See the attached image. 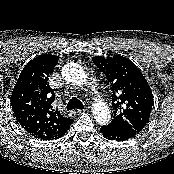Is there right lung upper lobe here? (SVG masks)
<instances>
[{"label": "right lung upper lobe", "instance_id": "obj_1", "mask_svg": "<svg viewBox=\"0 0 174 174\" xmlns=\"http://www.w3.org/2000/svg\"><path fill=\"white\" fill-rule=\"evenodd\" d=\"M58 57L42 54L23 68L11 95V106L17 122L31 136L41 140L62 137L73 120L53 109L55 93L48 84L50 72Z\"/></svg>", "mask_w": 174, "mask_h": 174}]
</instances>
